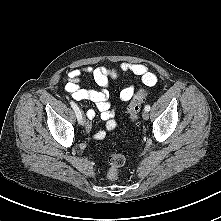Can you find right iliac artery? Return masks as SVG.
I'll list each match as a JSON object with an SVG mask.
<instances>
[{"label": "right iliac artery", "instance_id": "1", "mask_svg": "<svg viewBox=\"0 0 221 221\" xmlns=\"http://www.w3.org/2000/svg\"><path fill=\"white\" fill-rule=\"evenodd\" d=\"M70 105H71V107L73 108V110L75 111L76 116H77V119H78V121H79V123H80V122H81V119H82V114H81V112H80L78 106H77V105L75 104V102H73V101L70 102Z\"/></svg>", "mask_w": 221, "mask_h": 221}]
</instances>
